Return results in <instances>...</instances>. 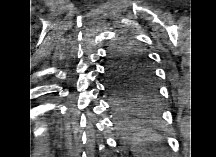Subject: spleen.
<instances>
[{
  "label": "spleen",
  "instance_id": "3e777b00",
  "mask_svg": "<svg viewBox=\"0 0 216 157\" xmlns=\"http://www.w3.org/2000/svg\"><path fill=\"white\" fill-rule=\"evenodd\" d=\"M131 151L138 157H149L155 153V143L162 141V137L152 128L138 123L135 131L129 136Z\"/></svg>",
  "mask_w": 216,
  "mask_h": 157
}]
</instances>
